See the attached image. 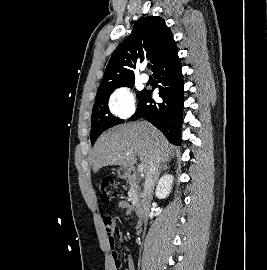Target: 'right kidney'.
<instances>
[{
	"label": "right kidney",
	"instance_id": "ca27d5eb",
	"mask_svg": "<svg viewBox=\"0 0 267 270\" xmlns=\"http://www.w3.org/2000/svg\"><path fill=\"white\" fill-rule=\"evenodd\" d=\"M173 176L170 174L163 175L158 181L156 188V197L159 199H165L172 188Z\"/></svg>",
	"mask_w": 267,
	"mask_h": 270
}]
</instances>
